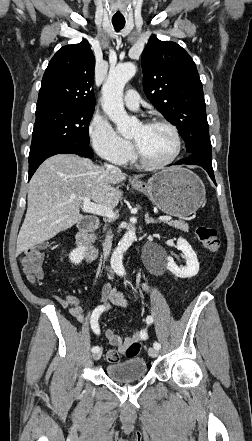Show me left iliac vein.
I'll use <instances>...</instances> for the list:
<instances>
[{"label":"left iliac vein","mask_w":252,"mask_h":441,"mask_svg":"<svg viewBox=\"0 0 252 441\" xmlns=\"http://www.w3.org/2000/svg\"><path fill=\"white\" fill-rule=\"evenodd\" d=\"M148 353L151 357H157L159 354V351H158V349L150 348Z\"/></svg>","instance_id":"4c4485c4"}]
</instances>
